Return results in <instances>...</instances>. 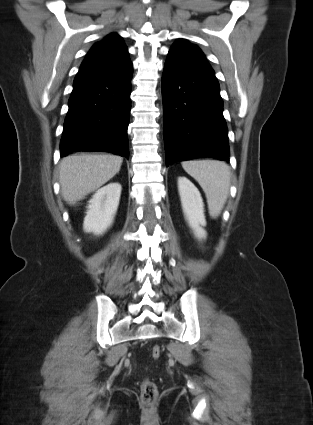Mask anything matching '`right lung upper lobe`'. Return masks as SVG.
<instances>
[{
	"mask_svg": "<svg viewBox=\"0 0 313 425\" xmlns=\"http://www.w3.org/2000/svg\"><path fill=\"white\" fill-rule=\"evenodd\" d=\"M86 60L123 62L130 59L122 38L117 33L112 32L93 45L84 61Z\"/></svg>",
	"mask_w": 313,
	"mask_h": 425,
	"instance_id": "right-lung-upper-lobe-1",
	"label": "right lung upper lobe"
}]
</instances>
